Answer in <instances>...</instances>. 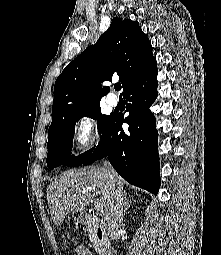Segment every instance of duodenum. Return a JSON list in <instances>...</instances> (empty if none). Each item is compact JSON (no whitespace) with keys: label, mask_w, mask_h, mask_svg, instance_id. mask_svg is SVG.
Returning <instances> with one entry per match:
<instances>
[{"label":"duodenum","mask_w":221,"mask_h":255,"mask_svg":"<svg viewBox=\"0 0 221 255\" xmlns=\"http://www.w3.org/2000/svg\"><path fill=\"white\" fill-rule=\"evenodd\" d=\"M79 218H80V220L85 221L88 219V216L86 214H80ZM96 234H97L99 243L103 244V242H104L103 228L100 226L96 227ZM104 255H117V253H116V251H114L112 249H107V250H104Z\"/></svg>","instance_id":"duodenum-1"}]
</instances>
